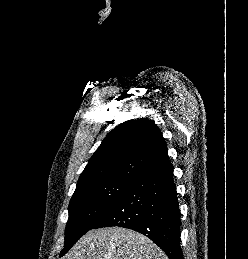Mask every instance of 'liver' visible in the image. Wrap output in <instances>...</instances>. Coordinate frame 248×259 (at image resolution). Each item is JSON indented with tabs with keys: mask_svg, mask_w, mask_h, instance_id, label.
<instances>
[{
	"mask_svg": "<svg viewBox=\"0 0 248 259\" xmlns=\"http://www.w3.org/2000/svg\"><path fill=\"white\" fill-rule=\"evenodd\" d=\"M65 259H168L146 236L122 227L90 230Z\"/></svg>",
	"mask_w": 248,
	"mask_h": 259,
	"instance_id": "liver-1",
	"label": "liver"
}]
</instances>
